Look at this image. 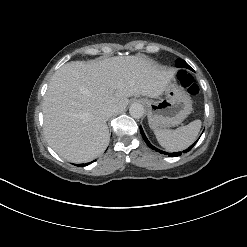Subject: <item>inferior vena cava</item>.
Masks as SVG:
<instances>
[{
  "label": "inferior vena cava",
  "mask_w": 247,
  "mask_h": 247,
  "mask_svg": "<svg viewBox=\"0 0 247 247\" xmlns=\"http://www.w3.org/2000/svg\"><path fill=\"white\" fill-rule=\"evenodd\" d=\"M116 112V110L114 108H105L103 111H102V115L105 117V118H109L110 116H112L114 113Z\"/></svg>",
  "instance_id": "inferior-vena-cava-1"
}]
</instances>
